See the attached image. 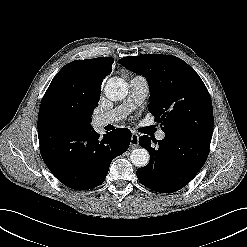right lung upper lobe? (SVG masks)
I'll use <instances>...</instances> for the list:
<instances>
[{"label":"right lung upper lobe","instance_id":"cb5924a9","mask_svg":"<svg viewBox=\"0 0 247 247\" xmlns=\"http://www.w3.org/2000/svg\"><path fill=\"white\" fill-rule=\"evenodd\" d=\"M113 62L111 57H99L69 63L76 69V86L93 100L99 101L103 79L110 74ZM90 128L91 125L87 129Z\"/></svg>","mask_w":247,"mask_h":247}]
</instances>
